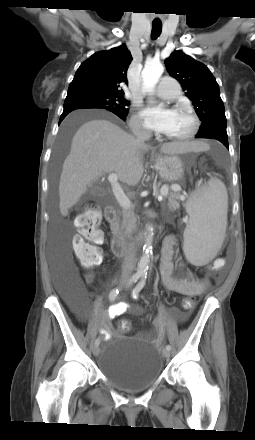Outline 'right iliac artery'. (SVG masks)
Masks as SVG:
<instances>
[{"label": "right iliac artery", "instance_id": "82829eb1", "mask_svg": "<svg viewBox=\"0 0 255 440\" xmlns=\"http://www.w3.org/2000/svg\"><path fill=\"white\" fill-rule=\"evenodd\" d=\"M140 277H141V274H139V273H135V274L131 277V279L129 280V284L137 282V280H138ZM119 290H120L119 288H114V289L111 290V292L109 293V300H110L111 302L115 301L117 295L119 294ZM99 344H100V339L97 338V339L95 340V346H98Z\"/></svg>", "mask_w": 255, "mask_h": 440}]
</instances>
